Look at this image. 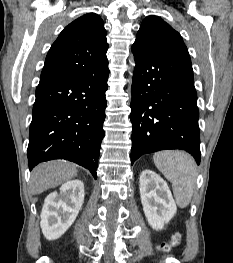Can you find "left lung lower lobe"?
<instances>
[{"instance_id": "left-lung-lower-lobe-1", "label": "left lung lower lobe", "mask_w": 233, "mask_h": 263, "mask_svg": "<svg viewBox=\"0 0 233 263\" xmlns=\"http://www.w3.org/2000/svg\"><path fill=\"white\" fill-rule=\"evenodd\" d=\"M135 69L131 88V163L165 149L189 152L200 164L197 93L188 57L132 46Z\"/></svg>"}]
</instances>
